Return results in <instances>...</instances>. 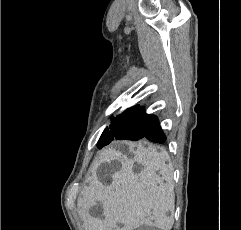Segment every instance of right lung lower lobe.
Instances as JSON below:
<instances>
[{"label":"right lung lower lobe","mask_w":241,"mask_h":230,"mask_svg":"<svg viewBox=\"0 0 241 230\" xmlns=\"http://www.w3.org/2000/svg\"><path fill=\"white\" fill-rule=\"evenodd\" d=\"M138 115L137 123L131 125L129 130L133 133H137L140 138L146 137L148 140L155 143H164L166 137L159 125L157 117L154 115L144 114L143 111L123 115Z\"/></svg>","instance_id":"right-lung-lower-lobe-1"}]
</instances>
